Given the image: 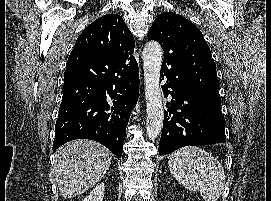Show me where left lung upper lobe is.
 Instances as JSON below:
<instances>
[{
    "label": "left lung upper lobe",
    "instance_id": "obj_1",
    "mask_svg": "<svg viewBox=\"0 0 271 201\" xmlns=\"http://www.w3.org/2000/svg\"><path fill=\"white\" fill-rule=\"evenodd\" d=\"M148 39L160 43L165 51L164 60L176 57L190 86L203 96L225 128L216 64L201 31L185 17L164 12L152 24Z\"/></svg>",
    "mask_w": 271,
    "mask_h": 201
}]
</instances>
